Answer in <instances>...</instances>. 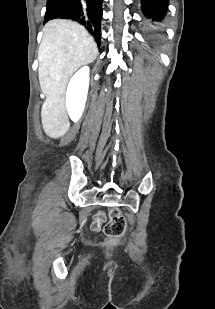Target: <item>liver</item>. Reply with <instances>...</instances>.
I'll return each instance as SVG.
<instances>
[{
    "label": "liver",
    "instance_id": "6515ba94",
    "mask_svg": "<svg viewBox=\"0 0 215 309\" xmlns=\"http://www.w3.org/2000/svg\"><path fill=\"white\" fill-rule=\"evenodd\" d=\"M98 54L96 42L86 28L73 20L54 18L46 22L38 50V74L46 100L41 116L49 136H62L70 122L65 108V90L73 72L93 62Z\"/></svg>",
    "mask_w": 215,
    "mask_h": 309
}]
</instances>
